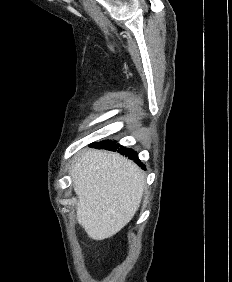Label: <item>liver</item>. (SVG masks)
<instances>
[{"mask_svg":"<svg viewBox=\"0 0 232 282\" xmlns=\"http://www.w3.org/2000/svg\"><path fill=\"white\" fill-rule=\"evenodd\" d=\"M71 174L78 196L77 220L90 238L112 237L138 210L145 176L129 159L104 150H84Z\"/></svg>","mask_w":232,"mask_h":282,"instance_id":"liver-1","label":"liver"}]
</instances>
